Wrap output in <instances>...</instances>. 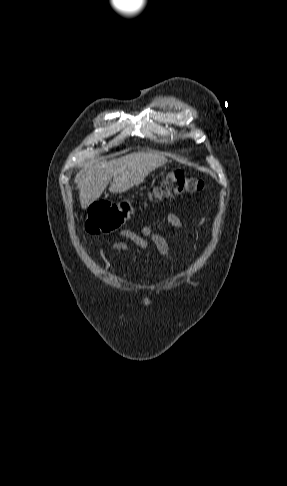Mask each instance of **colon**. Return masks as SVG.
<instances>
[{
	"mask_svg": "<svg viewBox=\"0 0 287 486\" xmlns=\"http://www.w3.org/2000/svg\"><path fill=\"white\" fill-rule=\"evenodd\" d=\"M205 183L188 173L177 170L166 175L164 181L155 190L158 197H173L200 192ZM133 208L126 201H98L89 209L86 229L92 234H108L120 228L131 216Z\"/></svg>",
	"mask_w": 287,
	"mask_h": 486,
	"instance_id": "5ec220e1",
	"label": "colon"
}]
</instances>
